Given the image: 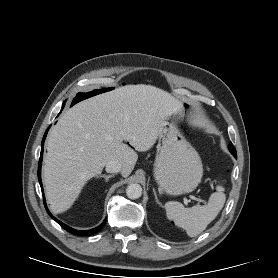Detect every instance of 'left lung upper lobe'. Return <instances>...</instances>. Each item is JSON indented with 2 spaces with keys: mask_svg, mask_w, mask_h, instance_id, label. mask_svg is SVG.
Wrapping results in <instances>:
<instances>
[{
  "mask_svg": "<svg viewBox=\"0 0 278 278\" xmlns=\"http://www.w3.org/2000/svg\"><path fill=\"white\" fill-rule=\"evenodd\" d=\"M229 150H230V152H231L234 156L237 155V154H236V150H235V148H234V146H233L232 143L229 144Z\"/></svg>",
  "mask_w": 278,
  "mask_h": 278,
  "instance_id": "left-lung-upper-lobe-1",
  "label": "left lung upper lobe"
}]
</instances>
